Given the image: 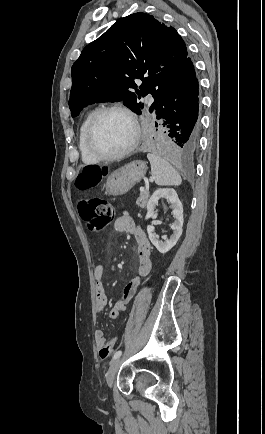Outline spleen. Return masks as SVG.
<instances>
[{"instance_id": "spleen-1", "label": "spleen", "mask_w": 265, "mask_h": 434, "mask_svg": "<svg viewBox=\"0 0 265 434\" xmlns=\"http://www.w3.org/2000/svg\"><path fill=\"white\" fill-rule=\"evenodd\" d=\"M151 166V174L155 184L158 186H180L182 180L177 170L160 158L157 154H147Z\"/></svg>"}]
</instances>
